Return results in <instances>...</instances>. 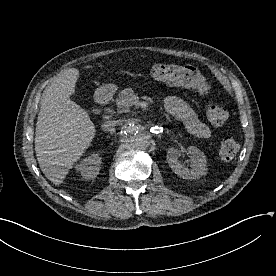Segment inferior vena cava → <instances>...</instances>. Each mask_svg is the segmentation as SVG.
<instances>
[{"instance_id":"1","label":"inferior vena cava","mask_w":276,"mask_h":276,"mask_svg":"<svg viewBox=\"0 0 276 276\" xmlns=\"http://www.w3.org/2000/svg\"><path fill=\"white\" fill-rule=\"evenodd\" d=\"M118 125V121L115 120H108L105 121L104 124L102 125L103 130L105 131H110L112 130L115 126Z\"/></svg>"}]
</instances>
